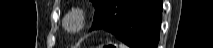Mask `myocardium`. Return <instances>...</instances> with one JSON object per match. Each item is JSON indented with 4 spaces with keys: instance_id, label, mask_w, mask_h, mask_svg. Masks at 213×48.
Instances as JSON below:
<instances>
[{
    "instance_id": "myocardium-1",
    "label": "myocardium",
    "mask_w": 213,
    "mask_h": 48,
    "mask_svg": "<svg viewBox=\"0 0 213 48\" xmlns=\"http://www.w3.org/2000/svg\"><path fill=\"white\" fill-rule=\"evenodd\" d=\"M70 23H74L71 27ZM86 25L85 12L80 8H73L67 12L63 20L64 28L71 33H77L81 31Z\"/></svg>"
}]
</instances>
